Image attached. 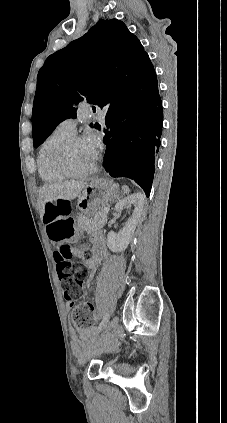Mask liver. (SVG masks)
Segmentation results:
<instances>
[{
    "label": "liver",
    "mask_w": 227,
    "mask_h": 423,
    "mask_svg": "<svg viewBox=\"0 0 227 423\" xmlns=\"http://www.w3.org/2000/svg\"><path fill=\"white\" fill-rule=\"evenodd\" d=\"M84 182H56L44 184L39 190L38 206L40 213H44V204H53L57 200H75L81 194Z\"/></svg>",
    "instance_id": "liver-1"
}]
</instances>
